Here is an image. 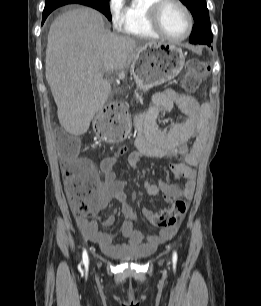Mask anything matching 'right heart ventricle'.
Listing matches in <instances>:
<instances>
[{
  "instance_id": "e07e8e85",
  "label": "right heart ventricle",
  "mask_w": 261,
  "mask_h": 306,
  "mask_svg": "<svg viewBox=\"0 0 261 306\" xmlns=\"http://www.w3.org/2000/svg\"><path fill=\"white\" fill-rule=\"evenodd\" d=\"M156 0H130L124 5L123 24L124 34L139 38L152 39L159 35L149 23L148 9Z\"/></svg>"
}]
</instances>
